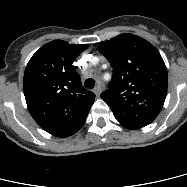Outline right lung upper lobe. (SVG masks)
Masks as SVG:
<instances>
[{
    "instance_id": "1",
    "label": "right lung upper lobe",
    "mask_w": 187,
    "mask_h": 187,
    "mask_svg": "<svg viewBox=\"0 0 187 187\" xmlns=\"http://www.w3.org/2000/svg\"><path fill=\"white\" fill-rule=\"evenodd\" d=\"M87 44L54 40L30 59L24 73V95L30 114L53 136L68 137L85 123L95 95L83 88L72 65Z\"/></svg>"
}]
</instances>
